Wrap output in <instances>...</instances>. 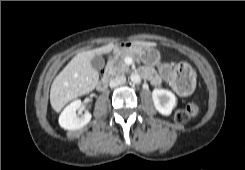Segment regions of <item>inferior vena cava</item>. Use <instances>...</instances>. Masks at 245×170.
Wrapping results in <instances>:
<instances>
[{"label": "inferior vena cava", "mask_w": 245, "mask_h": 170, "mask_svg": "<svg viewBox=\"0 0 245 170\" xmlns=\"http://www.w3.org/2000/svg\"><path fill=\"white\" fill-rule=\"evenodd\" d=\"M126 82V77L125 76H117V77H114L110 80L109 82V86L111 88H114L118 85H122Z\"/></svg>", "instance_id": "inferior-vena-cava-1"}]
</instances>
